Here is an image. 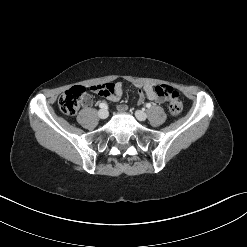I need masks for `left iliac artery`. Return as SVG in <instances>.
Masks as SVG:
<instances>
[{"instance_id":"1","label":"left iliac artery","mask_w":247,"mask_h":247,"mask_svg":"<svg viewBox=\"0 0 247 247\" xmlns=\"http://www.w3.org/2000/svg\"><path fill=\"white\" fill-rule=\"evenodd\" d=\"M146 107H147V108H150V107H151V104H150V103H147V104H146Z\"/></svg>"}]
</instances>
